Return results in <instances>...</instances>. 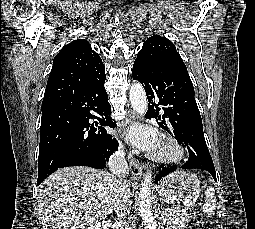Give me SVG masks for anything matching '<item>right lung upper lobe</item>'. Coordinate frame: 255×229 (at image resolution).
I'll list each match as a JSON object with an SVG mask.
<instances>
[{
    "label": "right lung upper lobe",
    "mask_w": 255,
    "mask_h": 229,
    "mask_svg": "<svg viewBox=\"0 0 255 229\" xmlns=\"http://www.w3.org/2000/svg\"><path fill=\"white\" fill-rule=\"evenodd\" d=\"M102 68L101 58L87 40L78 39L65 45L53 60L42 109L71 100L88 78Z\"/></svg>",
    "instance_id": "cb5924a9"
}]
</instances>
